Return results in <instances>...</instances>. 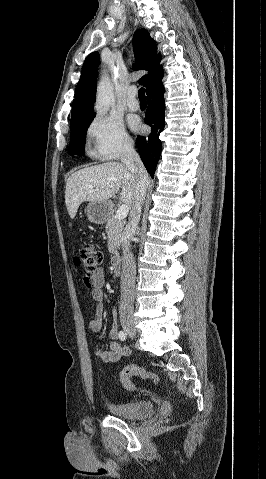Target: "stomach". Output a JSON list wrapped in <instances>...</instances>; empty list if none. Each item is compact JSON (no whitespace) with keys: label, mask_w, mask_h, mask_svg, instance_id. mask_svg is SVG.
Returning a JSON list of instances; mask_svg holds the SVG:
<instances>
[{"label":"stomach","mask_w":266,"mask_h":479,"mask_svg":"<svg viewBox=\"0 0 266 479\" xmlns=\"http://www.w3.org/2000/svg\"><path fill=\"white\" fill-rule=\"evenodd\" d=\"M111 205L108 202H90L86 208L88 219L96 224L104 223L110 216Z\"/></svg>","instance_id":"0dacf381"}]
</instances>
